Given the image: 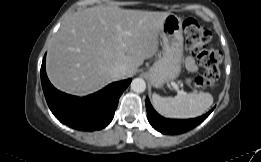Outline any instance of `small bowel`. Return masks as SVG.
I'll return each instance as SVG.
<instances>
[{
	"label": "small bowel",
	"mask_w": 261,
	"mask_h": 162,
	"mask_svg": "<svg viewBox=\"0 0 261 162\" xmlns=\"http://www.w3.org/2000/svg\"><path fill=\"white\" fill-rule=\"evenodd\" d=\"M185 66L191 72H194V71L197 70V65H196L194 59L192 57H190V56L186 58Z\"/></svg>",
	"instance_id": "obj_1"
}]
</instances>
